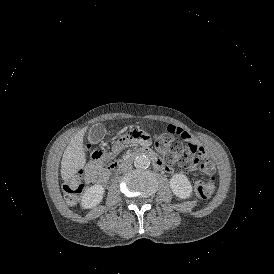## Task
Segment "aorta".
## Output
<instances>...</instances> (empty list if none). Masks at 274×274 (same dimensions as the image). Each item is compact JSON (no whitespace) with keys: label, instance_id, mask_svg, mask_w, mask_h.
Instances as JSON below:
<instances>
[{"label":"aorta","instance_id":"aorta-1","mask_svg":"<svg viewBox=\"0 0 274 274\" xmlns=\"http://www.w3.org/2000/svg\"><path fill=\"white\" fill-rule=\"evenodd\" d=\"M150 165V160L146 156H137L134 160V166L138 169H146Z\"/></svg>","mask_w":274,"mask_h":274}]
</instances>
